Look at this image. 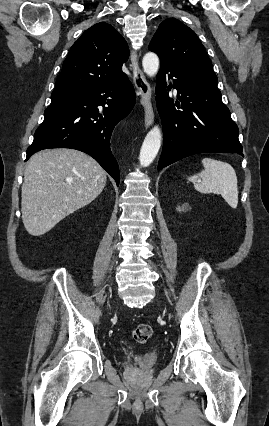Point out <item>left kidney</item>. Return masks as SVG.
I'll return each instance as SVG.
<instances>
[{
	"label": "left kidney",
	"instance_id": "5707ae66",
	"mask_svg": "<svg viewBox=\"0 0 269 426\" xmlns=\"http://www.w3.org/2000/svg\"><path fill=\"white\" fill-rule=\"evenodd\" d=\"M176 210L178 212H186V211L190 210V206H189V204H183L182 206H177Z\"/></svg>",
	"mask_w": 269,
	"mask_h": 426
}]
</instances>
